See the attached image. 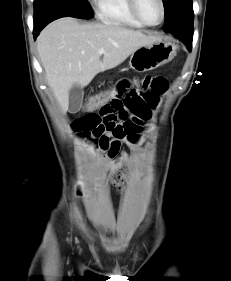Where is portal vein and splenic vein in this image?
Listing matches in <instances>:
<instances>
[{
  "label": "portal vein and splenic vein",
  "mask_w": 231,
  "mask_h": 281,
  "mask_svg": "<svg viewBox=\"0 0 231 281\" xmlns=\"http://www.w3.org/2000/svg\"><path fill=\"white\" fill-rule=\"evenodd\" d=\"M98 52H99L100 54H103V53L105 52V50H104L103 48H100V49L98 50Z\"/></svg>",
  "instance_id": "portal-vein-and-splenic-vein-1"
}]
</instances>
